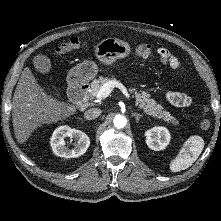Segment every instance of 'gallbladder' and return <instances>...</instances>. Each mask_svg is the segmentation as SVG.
<instances>
[{"label":"gallbladder","mask_w":221,"mask_h":221,"mask_svg":"<svg viewBox=\"0 0 221 221\" xmlns=\"http://www.w3.org/2000/svg\"><path fill=\"white\" fill-rule=\"evenodd\" d=\"M43 56L36 57L34 60V65L38 70L40 71L47 70L45 73H49L51 69V65H49L48 60Z\"/></svg>","instance_id":"gallbladder-1"}]
</instances>
